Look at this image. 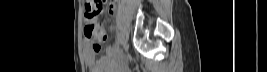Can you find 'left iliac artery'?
<instances>
[{"instance_id": "44dca946", "label": "left iliac artery", "mask_w": 267, "mask_h": 72, "mask_svg": "<svg viewBox=\"0 0 267 72\" xmlns=\"http://www.w3.org/2000/svg\"><path fill=\"white\" fill-rule=\"evenodd\" d=\"M123 43V38L122 35L120 33H118V47H117V53L119 56H121L122 54V49H121V45Z\"/></svg>"}]
</instances>
